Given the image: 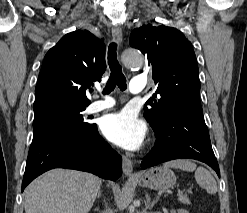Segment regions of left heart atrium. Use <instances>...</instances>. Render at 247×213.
Masks as SVG:
<instances>
[{"mask_svg":"<svg viewBox=\"0 0 247 213\" xmlns=\"http://www.w3.org/2000/svg\"><path fill=\"white\" fill-rule=\"evenodd\" d=\"M100 129L110 142L127 150L139 149L146 136L145 123L130 110L104 116Z\"/></svg>","mask_w":247,"mask_h":213,"instance_id":"39dd6f15","label":"left heart atrium"}]
</instances>
